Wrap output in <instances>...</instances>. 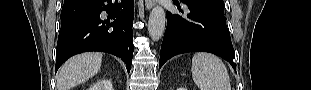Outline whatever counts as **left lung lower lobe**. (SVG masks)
Listing matches in <instances>:
<instances>
[{"label": "left lung lower lobe", "mask_w": 311, "mask_h": 90, "mask_svg": "<svg viewBox=\"0 0 311 90\" xmlns=\"http://www.w3.org/2000/svg\"><path fill=\"white\" fill-rule=\"evenodd\" d=\"M175 4L182 12L178 1ZM185 4L190 10L186 17L167 12L159 68L175 55L203 51L222 57L236 70L235 53L224 13L197 4Z\"/></svg>", "instance_id": "1"}]
</instances>
